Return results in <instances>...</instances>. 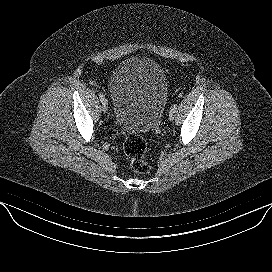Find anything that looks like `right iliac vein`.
I'll return each mask as SVG.
<instances>
[{
  "label": "right iliac vein",
  "instance_id": "1",
  "mask_svg": "<svg viewBox=\"0 0 272 272\" xmlns=\"http://www.w3.org/2000/svg\"><path fill=\"white\" fill-rule=\"evenodd\" d=\"M102 110L104 112H107V110H108V102L106 99L102 102Z\"/></svg>",
  "mask_w": 272,
  "mask_h": 272
}]
</instances>
